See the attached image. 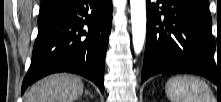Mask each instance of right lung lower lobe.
Returning a JSON list of instances; mask_svg holds the SVG:
<instances>
[{
  "label": "right lung lower lobe",
  "instance_id": "right-lung-lower-lobe-1",
  "mask_svg": "<svg viewBox=\"0 0 221 102\" xmlns=\"http://www.w3.org/2000/svg\"><path fill=\"white\" fill-rule=\"evenodd\" d=\"M111 0H68L38 20L26 88L56 72H71L93 81L104 92L103 75L112 25Z\"/></svg>",
  "mask_w": 221,
  "mask_h": 102
}]
</instances>
